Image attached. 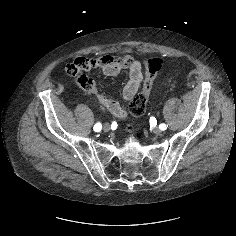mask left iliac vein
Returning <instances> with one entry per match:
<instances>
[{"label":"left iliac vein","instance_id":"1","mask_svg":"<svg viewBox=\"0 0 236 236\" xmlns=\"http://www.w3.org/2000/svg\"><path fill=\"white\" fill-rule=\"evenodd\" d=\"M153 132H154L155 134L159 135V134H161L162 130H161L160 128H158V127H155V128L153 129Z\"/></svg>","mask_w":236,"mask_h":236}]
</instances>
